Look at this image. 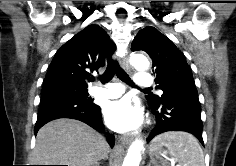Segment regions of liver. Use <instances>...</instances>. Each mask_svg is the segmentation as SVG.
<instances>
[{
	"instance_id": "1",
	"label": "liver",
	"mask_w": 236,
	"mask_h": 166,
	"mask_svg": "<svg viewBox=\"0 0 236 166\" xmlns=\"http://www.w3.org/2000/svg\"><path fill=\"white\" fill-rule=\"evenodd\" d=\"M109 146L94 129L74 119H57L37 133L33 165L93 166L107 158Z\"/></svg>"
}]
</instances>
